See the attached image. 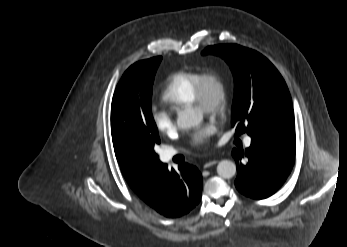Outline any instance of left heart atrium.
Returning a JSON list of instances; mask_svg holds the SVG:
<instances>
[{
    "mask_svg": "<svg viewBox=\"0 0 347 247\" xmlns=\"http://www.w3.org/2000/svg\"><path fill=\"white\" fill-rule=\"evenodd\" d=\"M216 130L217 126L213 121L205 122L193 131L191 142L195 145H205Z\"/></svg>",
    "mask_w": 347,
    "mask_h": 247,
    "instance_id": "39dd6f15",
    "label": "left heart atrium"
}]
</instances>
